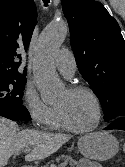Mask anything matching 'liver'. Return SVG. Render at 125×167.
<instances>
[{
	"mask_svg": "<svg viewBox=\"0 0 125 167\" xmlns=\"http://www.w3.org/2000/svg\"><path fill=\"white\" fill-rule=\"evenodd\" d=\"M70 139L71 136L66 134H51L31 129L19 131L15 122L0 117V167L6 166L12 155L29 146L33 149L25 156L26 161L47 158Z\"/></svg>",
	"mask_w": 125,
	"mask_h": 167,
	"instance_id": "liver-1",
	"label": "liver"
}]
</instances>
